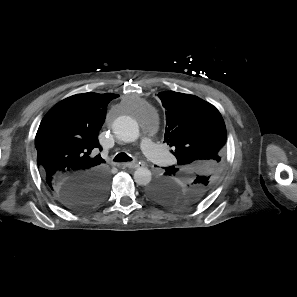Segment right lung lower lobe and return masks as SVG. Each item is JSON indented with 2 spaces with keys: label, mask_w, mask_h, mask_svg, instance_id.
I'll return each mask as SVG.
<instances>
[{
  "label": "right lung lower lobe",
  "mask_w": 297,
  "mask_h": 297,
  "mask_svg": "<svg viewBox=\"0 0 297 297\" xmlns=\"http://www.w3.org/2000/svg\"><path fill=\"white\" fill-rule=\"evenodd\" d=\"M108 181L106 172H92L61 185L52 194L69 209H90L105 198Z\"/></svg>",
  "instance_id": "right-lung-lower-lobe-1"
}]
</instances>
